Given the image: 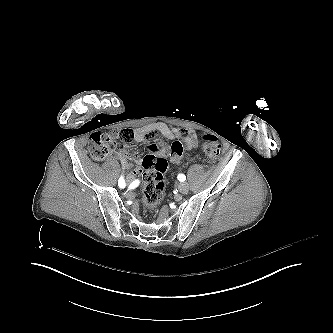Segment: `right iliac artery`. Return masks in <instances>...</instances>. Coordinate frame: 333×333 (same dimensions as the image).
I'll return each instance as SVG.
<instances>
[{
  "label": "right iliac artery",
  "instance_id": "82829eb1",
  "mask_svg": "<svg viewBox=\"0 0 333 333\" xmlns=\"http://www.w3.org/2000/svg\"><path fill=\"white\" fill-rule=\"evenodd\" d=\"M118 185L120 188H124L125 187V181L123 179V177L121 176L118 182Z\"/></svg>",
  "mask_w": 333,
  "mask_h": 333
}]
</instances>
